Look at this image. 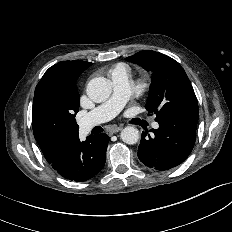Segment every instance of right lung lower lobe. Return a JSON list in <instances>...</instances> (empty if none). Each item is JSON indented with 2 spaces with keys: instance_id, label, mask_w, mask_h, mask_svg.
<instances>
[{
  "instance_id": "right-lung-lower-lobe-1",
  "label": "right lung lower lobe",
  "mask_w": 232,
  "mask_h": 232,
  "mask_svg": "<svg viewBox=\"0 0 232 232\" xmlns=\"http://www.w3.org/2000/svg\"><path fill=\"white\" fill-rule=\"evenodd\" d=\"M108 142L104 133L90 135L83 142L77 136L65 145L58 163L52 167L66 179L86 181L104 167Z\"/></svg>"
}]
</instances>
